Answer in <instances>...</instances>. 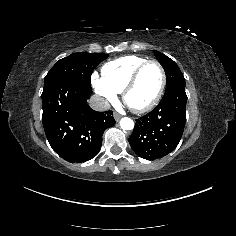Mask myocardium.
<instances>
[{"label":"myocardium","mask_w":236,"mask_h":236,"mask_svg":"<svg viewBox=\"0 0 236 236\" xmlns=\"http://www.w3.org/2000/svg\"><path fill=\"white\" fill-rule=\"evenodd\" d=\"M150 64H155L160 69L161 82H160L159 89L157 91L156 96L154 97V99L150 103H148L147 105L142 106V107H134L128 103V99H127L128 94L132 90V88L135 86L143 69ZM166 84H167V74H166V70H165L164 66L157 60H146L136 67V69L133 71L132 75L130 76L129 80L127 81V83L122 91L123 102L125 103V105L129 109H131L132 111H134L136 113L148 112V111L152 110L154 107H156L159 104V102L161 101L164 91H165V88H166Z\"/></svg>","instance_id":"myocardium-1"}]
</instances>
